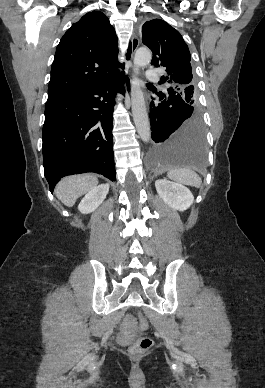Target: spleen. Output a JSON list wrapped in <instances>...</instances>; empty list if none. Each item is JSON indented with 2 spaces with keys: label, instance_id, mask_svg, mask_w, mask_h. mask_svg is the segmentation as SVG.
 Returning a JSON list of instances; mask_svg holds the SVG:
<instances>
[{
  "label": "spleen",
  "instance_id": "spleen-1",
  "mask_svg": "<svg viewBox=\"0 0 265 388\" xmlns=\"http://www.w3.org/2000/svg\"><path fill=\"white\" fill-rule=\"evenodd\" d=\"M167 178L174 180L178 184H185V186H200L201 178L197 176L196 172L189 170V168H175L167 172Z\"/></svg>",
  "mask_w": 265,
  "mask_h": 388
}]
</instances>
